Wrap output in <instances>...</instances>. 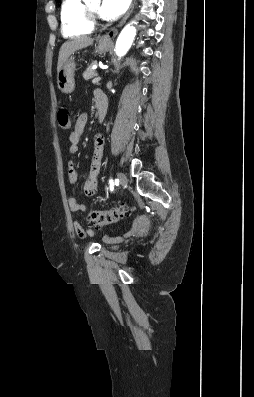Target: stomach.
<instances>
[{"label": "stomach", "instance_id": "1", "mask_svg": "<svg viewBox=\"0 0 254 397\" xmlns=\"http://www.w3.org/2000/svg\"><path fill=\"white\" fill-rule=\"evenodd\" d=\"M111 47V42L98 40L95 45L96 53H105ZM76 70L75 57H69L57 71L58 88L63 93H71L75 88L74 73Z\"/></svg>", "mask_w": 254, "mask_h": 397}]
</instances>
